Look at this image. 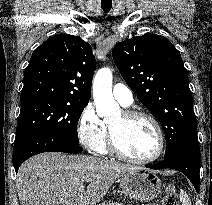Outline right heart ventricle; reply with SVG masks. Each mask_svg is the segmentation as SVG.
<instances>
[{
	"label": "right heart ventricle",
	"instance_id": "right-heart-ventricle-1",
	"mask_svg": "<svg viewBox=\"0 0 212 205\" xmlns=\"http://www.w3.org/2000/svg\"><path fill=\"white\" fill-rule=\"evenodd\" d=\"M95 152L101 155H107L109 154V148H108V134H107V129L105 126V135L98 145V147L95 149Z\"/></svg>",
	"mask_w": 212,
	"mask_h": 205
}]
</instances>
